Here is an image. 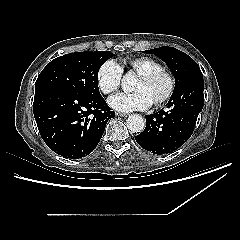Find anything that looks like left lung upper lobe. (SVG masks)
<instances>
[{
  "label": "left lung upper lobe",
  "mask_w": 240,
  "mask_h": 240,
  "mask_svg": "<svg viewBox=\"0 0 240 240\" xmlns=\"http://www.w3.org/2000/svg\"><path fill=\"white\" fill-rule=\"evenodd\" d=\"M145 52L158 56L168 65L175 77V89L190 81L203 79L197 63L180 50L172 47H160Z\"/></svg>",
  "instance_id": "1"
}]
</instances>
